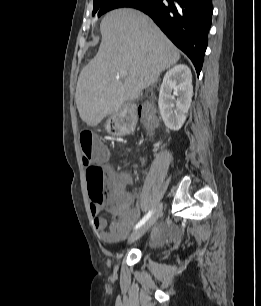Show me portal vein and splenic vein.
Instances as JSON below:
<instances>
[{"instance_id": "18ae733b", "label": "portal vein and splenic vein", "mask_w": 261, "mask_h": 306, "mask_svg": "<svg viewBox=\"0 0 261 306\" xmlns=\"http://www.w3.org/2000/svg\"><path fill=\"white\" fill-rule=\"evenodd\" d=\"M126 76V72H121L120 74L117 75V79H120L121 77Z\"/></svg>"}]
</instances>
